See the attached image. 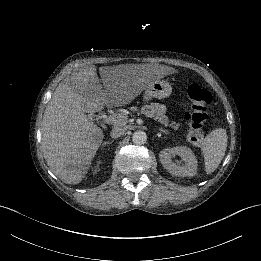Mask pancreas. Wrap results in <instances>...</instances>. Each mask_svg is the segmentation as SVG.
Listing matches in <instances>:
<instances>
[{"label": "pancreas", "instance_id": "cf45deb5", "mask_svg": "<svg viewBox=\"0 0 261 261\" xmlns=\"http://www.w3.org/2000/svg\"><path fill=\"white\" fill-rule=\"evenodd\" d=\"M150 113L153 115V119H157L161 124H163L164 127H171L174 130H178L183 126L182 122L168 120V117L166 116V109H163L159 103H152V110Z\"/></svg>", "mask_w": 261, "mask_h": 261}]
</instances>
